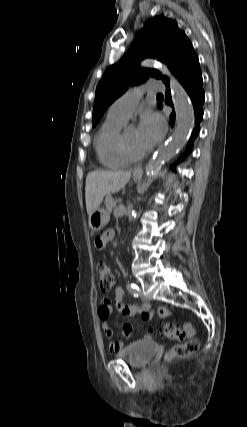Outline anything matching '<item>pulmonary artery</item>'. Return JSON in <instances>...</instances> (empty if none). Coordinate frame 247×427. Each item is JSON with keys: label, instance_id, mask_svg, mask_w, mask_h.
I'll use <instances>...</instances> for the list:
<instances>
[{"label": "pulmonary artery", "instance_id": "obj_1", "mask_svg": "<svg viewBox=\"0 0 247 427\" xmlns=\"http://www.w3.org/2000/svg\"><path fill=\"white\" fill-rule=\"evenodd\" d=\"M162 91L163 86L157 81H149L144 88L134 87L121 95L109 108L108 115L127 120L136 108L143 91Z\"/></svg>", "mask_w": 247, "mask_h": 427}]
</instances>
